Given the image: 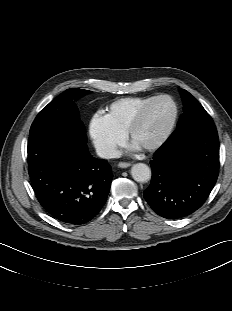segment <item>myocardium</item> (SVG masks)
I'll return each mask as SVG.
<instances>
[{"mask_svg":"<svg viewBox=\"0 0 232 311\" xmlns=\"http://www.w3.org/2000/svg\"><path fill=\"white\" fill-rule=\"evenodd\" d=\"M160 100H167L172 104L173 107V114L172 117L168 123V125L166 126V128L164 129V131L161 133V135L152 143H150L149 145L145 146L144 148H141L143 151H153L158 149L159 147H161L166 140L169 138V136L171 135L175 124L177 122V118H178V106L176 104V102L172 99V97L168 96V95H158L153 97L152 99H150L148 102H146L138 111L137 113L134 115L133 119L130 121L128 127L126 128V131L124 133L125 138L128 142H131V137L133 132L135 131V129L139 126V124L143 121L147 111L149 110V108L156 103L157 101Z\"/></svg>","mask_w":232,"mask_h":311,"instance_id":"f54148a6","label":"myocardium"}]
</instances>
